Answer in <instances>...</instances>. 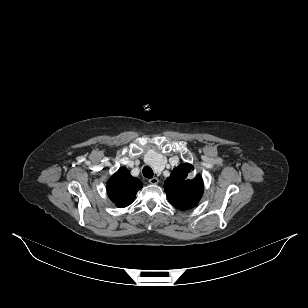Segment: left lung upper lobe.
I'll return each instance as SVG.
<instances>
[{
  "instance_id": "obj_1",
  "label": "left lung upper lobe",
  "mask_w": 308,
  "mask_h": 308,
  "mask_svg": "<svg viewBox=\"0 0 308 308\" xmlns=\"http://www.w3.org/2000/svg\"><path fill=\"white\" fill-rule=\"evenodd\" d=\"M190 164H180L165 180L164 188L169 202L179 210L191 209L199 202L203 193L200 175L189 178Z\"/></svg>"
}]
</instances>
